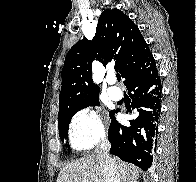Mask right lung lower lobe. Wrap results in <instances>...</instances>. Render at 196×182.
Returning <instances> with one entry per match:
<instances>
[{
  "instance_id": "right-lung-lower-lobe-1",
  "label": "right lung lower lobe",
  "mask_w": 196,
  "mask_h": 182,
  "mask_svg": "<svg viewBox=\"0 0 196 182\" xmlns=\"http://www.w3.org/2000/svg\"><path fill=\"white\" fill-rule=\"evenodd\" d=\"M124 84L129 92H133L130 94L131 107L139 114L129 120V126H124L115 119L114 112L108 132L110 153L146 171L152 165L162 97V85L153 56Z\"/></svg>"
}]
</instances>
